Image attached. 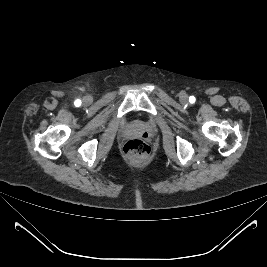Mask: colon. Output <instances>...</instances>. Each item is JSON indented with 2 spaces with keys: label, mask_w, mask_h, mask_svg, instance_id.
<instances>
[{
  "label": "colon",
  "mask_w": 267,
  "mask_h": 267,
  "mask_svg": "<svg viewBox=\"0 0 267 267\" xmlns=\"http://www.w3.org/2000/svg\"><path fill=\"white\" fill-rule=\"evenodd\" d=\"M123 149L126 156L135 161L146 160L150 155L149 146L140 139H132L127 141Z\"/></svg>",
  "instance_id": "obj_1"
}]
</instances>
